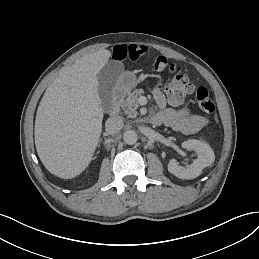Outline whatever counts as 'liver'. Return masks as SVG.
<instances>
[{"label":"liver","mask_w":259,"mask_h":259,"mask_svg":"<svg viewBox=\"0 0 259 259\" xmlns=\"http://www.w3.org/2000/svg\"><path fill=\"white\" fill-rule=\"evenodd\" d=\"M111 52L87 53L60 72L46 89L37 109L35 145L52 174L71 179L89 165L102 132L98 95L99 71Z\"/></svg>","instance_id":"1"}]
</instances>
